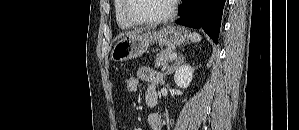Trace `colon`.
I'll return each instance as SVG.
<instances>
[{
    "mask_svg": "<svg viewBox=\"0 0 299 130\" xmlns=\"http://www.w3.org/2000/svg\"><path fill=\"white\" fill-rule=\"evenodd\" d=\"M139 83L140 81L137 74L130 75L125 83L126 91L128 92V94L136 93L139 87Z\"/></svg>",
    "mask_w": 299,
    "mask_h": 130,
    "instance_id": "colon-1",
    "label": "colon"
}]
</instances>
